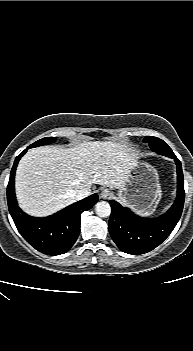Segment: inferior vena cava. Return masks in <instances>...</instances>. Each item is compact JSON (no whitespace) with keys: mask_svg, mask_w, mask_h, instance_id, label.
Masks as SVG:
<instances>
[{"mask_svg":"<svg viewBox=\"0 0 193 351\" xmlns=\"http://www.w3.org/2000/svg\"><path fill=\"white\" fill-rule=\"evenodd\" d=\"M91 194V190L89 188H84L75 193L76 200L84 199L85 197Z\"/></svg>","mask_w":193,"mask_h":351,"instance_id":"inferior-vena-cava-1","label":"inferior vena cava"}]
</instances>
